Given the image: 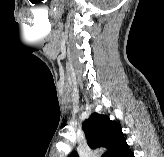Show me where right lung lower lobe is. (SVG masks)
<instances>
[{"label": "right lung lower lobe", "instance_id": "obj_1", "mask_svg": "<svg viewBox=\"0 0 164 157\" xmlns=\"http://www.w3.org/2000/svg\"><path fill=\"white\" fill-rule=\"evenodd\" d=\"M114 157H135L134 154L130 151L129 146L126 141L122 144L118 152Z\"/></svg>", "mask_w": 164, "mask_h": 157}]
</instances>
